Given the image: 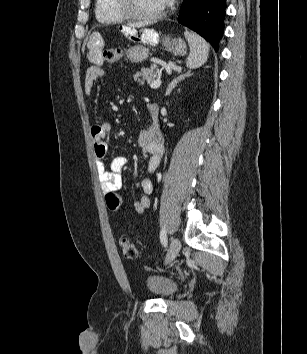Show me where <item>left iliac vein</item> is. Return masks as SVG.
<instances>
[{
  "instance_id": "left-iliac-vein-1",
  "label": "left iliac vein",
  "mask_w": 307,
  "mask_h": 354,
  "mask_svg": "<svg viewBox=\"0 0 307 354\" xmlns=\"http://www.w3.org/2000/svg\"><path fill=\"white\" fill-rule=\"evenodd\" d=\"M181 249V243L177 238H173L170 244V248L167 254L166 263L172 262L178 255Z\"/></svg>"
}]
</instances>
